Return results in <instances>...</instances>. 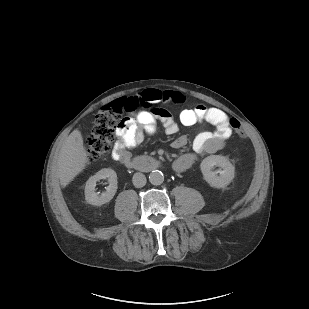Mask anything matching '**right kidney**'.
Returning a JSON list of instances; mask_svg holds the SVG:
<instances>
[{"label":"right kidney","instance_id":"ca27d5eb","mask_svg":"<svg viewBox=\"0 0 309 309\" xmlns=\"http://www.w3.org/2000/svg\"><path fill=\"white\" fill-rule=\"evenodd\" d=\"M105 178H108L109 186H107L106 192L99 195L95 192L96 182ZM117 188L116 172L112 169L104 168L97 172L94 176H91L86 182L85 200L91 205L101 206L108 203L114 197Z\"/></svg>","mask_w":309,"mask_h":309}]
</instances>
